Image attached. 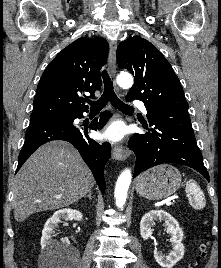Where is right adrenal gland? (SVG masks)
<instances>
[{
    "mask_svg": "<svg viewBox=\"0 0 221 268\" xmlns=\"http://www.w3.org/2000/svg\"><path fill=\"white\" fill-rule=\"evenodd\" d=\"M92 191H89L87 195H85L84 197H88L90 200H92Z\"/></svg>",
    "mask_w": 221,
    "mask_h": 268,
    "instance_id": "right-adrenal-gland-1",
    "label": "right adrenal gland"
}]
</instances>
